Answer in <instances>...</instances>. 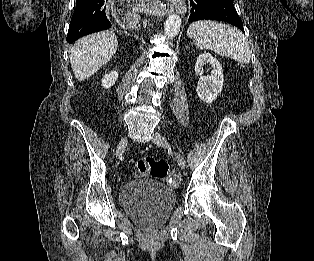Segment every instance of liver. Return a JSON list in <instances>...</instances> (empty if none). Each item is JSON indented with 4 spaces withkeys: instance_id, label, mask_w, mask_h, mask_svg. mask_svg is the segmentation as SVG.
<instances>
[{
    "instance_id": "6515ba94",
    "label": "liver",
    "mask_w": 314,
    "mask_h": 261,
    "mask_svg": "<svg viewBox=\"0 0 314 261\" xmlns=\"http://www.w3.org/2000/svg\"><path fill=\"white\" fill-rule=\"evenodd\" d=\"M118 40L113 31L85 36L72 47L70 64L75 77L83 81L94 75L116 53Z\"/></svg>"
}]
</instances>
